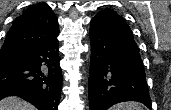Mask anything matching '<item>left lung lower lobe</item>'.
Returning a JSON list of instances; mask_svg holds the SVG:
<instances>
[{
  "instance_id": "0a47b994",
  "label": "left lung lower lobe",
  "mask_w": 171,
  "mask_h": 110,
  "mask_svg": "<svg viewBox=\"0 0 171 110\" xmlns=\"http://www.w3.org/2000/svg\"><path fill=\"white\" fill-rule=\"evenodd\" d=\"M90 110H107L123 101H138L151 109L145 71L137 44L106 20H91Z\"/></svg>"
}]
</instances>
